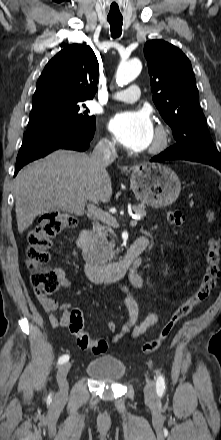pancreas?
I'll return each instance as SVG.
<instances>
[{
    "label": "pancreas",
    "mask_w": 221,
    "mask_h": 440,
    "mask_svg": "<svg viewBox=\"0 0 221 440\" xmlns=\"http://www.w3.org/2000/svg\"><path fill=\"white\" fill-rule=\"evenodd\" d=\"M144 204H139L137 206H132V211L142 217L146 216ZM90 236L92 238V242L84 251L83 255L87 257V253H98L99 251V243H103L108 246V259H112L115 256V252L113 251L114 247V239L112 238L111 242H108L107 237H114L115 234L109 225H101L99 223H95L93 225V229L90 232Z\"/></svg>",
    "instance_id": "cf45deb5"
}]
</instances>
